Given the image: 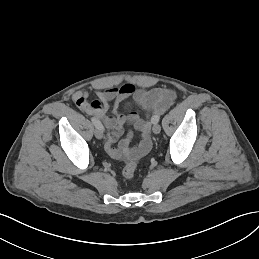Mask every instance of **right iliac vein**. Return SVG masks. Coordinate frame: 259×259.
Returning <instances> with one entry per match:
<instances>
[{"instance_id":"1","label":"right iliac vein","mask_w":259,"mask_h":259,"mask_svg":"<svg viewBox=\"0 0 259 259\" xmlns=\"http://www.w3.org/2000/svg\"><path fill=\"white\" fill-rule=\"evenodd\" d=\"M95 137L97 139H102L103 138V131L99 128H96L94 131Z\"/></svg>"}]
</instances>
